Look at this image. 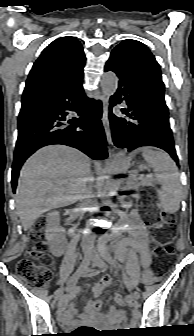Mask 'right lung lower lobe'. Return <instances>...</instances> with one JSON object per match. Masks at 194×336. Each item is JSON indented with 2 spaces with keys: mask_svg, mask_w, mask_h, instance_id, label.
<instances>
[{
  "mask_svg": "<svg viewBox=\"0 0 194 336\" xmlns=\"http://www.w3.org/2000/svg\"><path fill=\"white\" fill-rule=\"evenodd\" d=\"M82 79L83 74L52 93L22 102L12 166L14 193L23 163L43 146L68 145L95 160L108 156L101 102L86 97ZM70 114L76 117L70 119Z\"/></svg>",
  "mask_w": 194,
  "mask_h": 336,
  "instance_id": "1",
  "label": "right lung lower lobe"
}]
</instances>
